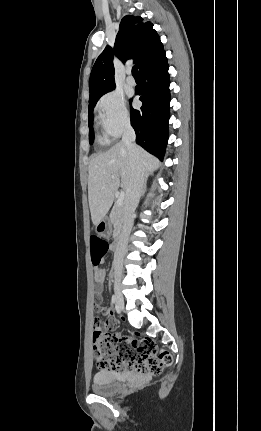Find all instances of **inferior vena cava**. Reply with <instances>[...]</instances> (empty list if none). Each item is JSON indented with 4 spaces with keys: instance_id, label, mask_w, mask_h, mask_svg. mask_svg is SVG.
Masks as SVG:
<instances>
[{
    "instance_id": "602c4592",
    "label": "inferior vena cava",
    "mask_w": 261,
    "mask_h": 431,
    "mask_svg": "<svg viewBox=\"0 0 261 431\" xmlns=\"http://www.w3.org/2000/svg\"><path fill=\"white\" fill-rule=\"evenodd\" d=\"M135 131L130 124H127L122 136V143L127 147L130 155L132 168V178L129 188L126 191V197L123 209V226L120 233L118 244L115 252V260L120 261L128 244L129 235L133 225V215L138 206L140 197L144 188V168L139 156V151L135 145ZM122 274V265L119 263L115 268V276L120 277Z\"/></svg>"
}]
</instances>
